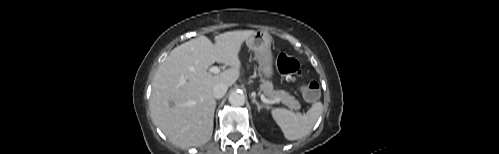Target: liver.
I'll return each instance as SVG.
<instances>
[{"label":"liver","mask_w":499,"mask_h":154,"mask_svg":"<svg viewBox=\"0 0 499 154\" xmlns=\"http://www.w3.org/2000/svg\"><path fill=\"white\" fill-rule=\"evenodd\" d=\"M255 31H229L214 43L200 36L174 48L159 66L152 83L150 111L153 122L180 147L200 146L213 133L216 101L212 89L218 83L232 86L239 78V53ZM215 62L229 66L213 75Z\"/></svg>","instance_id":"1"}]
</instances>
